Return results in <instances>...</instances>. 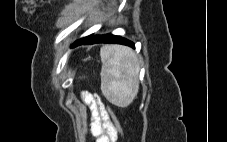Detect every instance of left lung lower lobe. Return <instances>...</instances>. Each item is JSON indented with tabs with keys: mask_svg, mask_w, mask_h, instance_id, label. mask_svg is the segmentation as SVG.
<instances>
[{
	"mask_svg": "<svg viewBox=\"0 0 227 142\" xmlns=\"http://www.w3.org/2000/svg\"><path fill=\"white\" fill-rule=\"evenodd\" d=\"M95 43H118V44H123L134 48V43H132L131 41L112 34H105L101 36H94L92 34L76 41L72 45V47L81 45V44H95Z\"/></svg>",
	"mask_w": 227,
	"mask_h": 142,
	"instance_id": "obj_1",
	"label": "left lung lower lobe"
}]
</instances>
